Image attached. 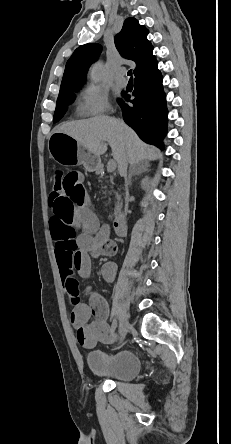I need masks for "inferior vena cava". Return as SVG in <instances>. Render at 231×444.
Returning a JSON list of instances; mask_svg holds the SVG:
<instances>
[{"label": "inferior vena cava", "instance_id": "602c4592", "mask_svg": "<svg viewBox=\"0 0 231 444\" xmlns=\"http://www.w3.org/2000/svg\"><path fill=\"white\" fill-rule=\"evenodd\" d=\"M127 167H128V163L124 162L120 167H119V173L121 176H123L125 178V186H128V178H127ZM125 194L129 193L128 189L124 190ZM123 204L125 205L123 210L121 211L123 213V215L126 217L128 214L126 213V211H129V203H130V198H124L123 199Z\"/></svg>", "mask_w": 231, "mask_h": 444}]
</instances>
